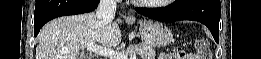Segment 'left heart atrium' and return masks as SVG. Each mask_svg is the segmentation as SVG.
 I'll return each mask as SVG.
<instances>
[{"label": "left heart atrium", "mask_w": 261, "mask_h": 59, "mask_svg": "<svg viewBox=\"0 0 261 59\" xmlns=\"http://www.w3.org/2000/svg\"><path fill=\"white\" fill-rule=\"evenodd\" d=\"M139 3H150V2H162V1H147V0H138Z\"/></svg>", "instance_id": "1"}]
</instances>
